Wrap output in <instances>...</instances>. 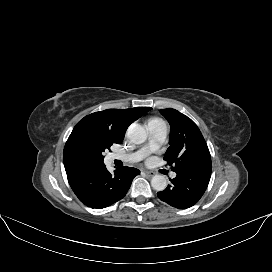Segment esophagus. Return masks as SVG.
I'll return each mask as SVG.
<instances>
[{
    "instance_id": "34e87169",
    "label": "esophagus",
    "mask_w": 272,
    "mask_h": 272,
    "mask_svg": "<svg viewBox=\"0 0 272 272\" xmlns=\"http://www.w3.org/2000/svg\"><path fill=\"white\" fill-rule=\"evenodd\" d=\"M145 175L148 176V177H153L155 175L154 172L152 171H144Z\"/></svg>"
}]
</instances>
